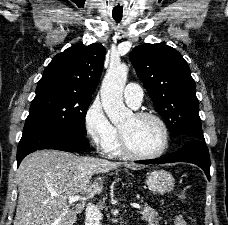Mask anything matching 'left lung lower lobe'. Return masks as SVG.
<instances>
[{
    "mask_svg": "<svg viewBox=\"0 0 228 225\" xmlns=\"http://www.w3.org/2000/svg\"><path fill=\"white\" fill-rule=\"evenodd\" d=\"M188 162L198 165L210 180V156L205 141L192 139L179 150L155 160L136 161L140 164Z\"/></svg>",
    "mask_w": 228,
    "mask_h": 225,
    "instance_id": "0a47b994",
    "label": "left lung lower lobe"
}]
</instances>
